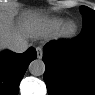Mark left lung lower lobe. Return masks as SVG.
<instances>
[{"mask_svg":"<svg viewBox=\"0 0 95 95\" xmlns=\"http://www.w3.org/2000/svg\"><path fill=\"white\" fill-rule=\"evenodd\" d=\"M44 80L50 95H95V29L43 48Z\"/></svg>","mask_w":95,"mask_h":95,"instance_id":"1","label":"left lung lower lobe"}]
</instances>
